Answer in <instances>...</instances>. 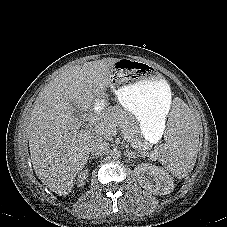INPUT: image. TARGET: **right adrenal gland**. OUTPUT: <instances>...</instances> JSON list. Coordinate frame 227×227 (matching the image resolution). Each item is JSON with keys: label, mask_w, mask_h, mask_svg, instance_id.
Listing matches in <instances>:
<instances>
[{"label": "right adrenal gland", "mask_w": 227, "mask_h": 227, "mask_svg": "<svg viewBox=\"0 0 227 227\" xmlns=\"http://www.w3.org/2000/svg\"><path fill=\"white\" fill-rule=\"evenodd\" d=\"M94 158H95V157H94V156H92V157H89L88 159H89V160H91V159H94Z\"/></svg>", "instance_id": "right-adrenal-gland-1"}]
</instances>
